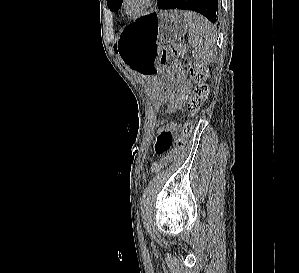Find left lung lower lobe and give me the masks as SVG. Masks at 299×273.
Masks as SVG:
<instances>
[{"label": "left lung lower lobe", "instance_id": "1", "mask_svg": "<svg viewBox=\"0 0 299 273\" xmlns=\"http://www.w3.org/2000/svg\"><path fill=\"white\" fill-rule=\"evenodd\" d=\"M159 9H183L199 12L212 23L218 19V0H159Z\"/></svg>", "mask_w": 299, "mask_h": 273}]
</instances>
